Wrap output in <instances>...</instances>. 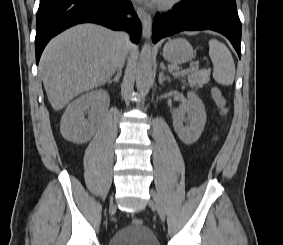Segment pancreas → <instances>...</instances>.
Returning a JSON list of instances; mask_svg holds the SVG:
<instances>
[{"label": "pancreas", "mask_w": 283, "mask_h": 245, "mask_svg": "<svg viewBox=\"0 0 283 245\" xmlns=\"http://www.w3.org/2000/svg\"><path fill=\"white\" fill-rule=\"evenodd\" d=\"M172 69L179 70L178 66H172ZM185 75V74H184ZM187 79L191 87H202L210 80V72L208 70L194 69L187 73Z\"/></svg>", "instance_id": "1"}]
</instances>
